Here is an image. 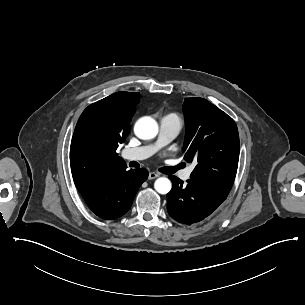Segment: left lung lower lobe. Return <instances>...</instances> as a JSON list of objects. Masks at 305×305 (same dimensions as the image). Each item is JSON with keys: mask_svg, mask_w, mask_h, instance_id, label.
Returning a JSON list of instances; mask_svg holds the SVG:
<instances>
[{"mask_svg": "<svg viewBox=\"0 0 305 305\" xmlns=\"http://www.w3.org/2000/svg\"><path fill=\"white\" fill-rule=\"evenodd\" d=\"M173 183L167 194V211L177 222L191 225L215 211L229 192L187 180V185L176 176H169Z\"/></svg>", "mask_w": 305, "mask_h": 305, "instance_id": "1", "label": "left lung lower lobe"}]
</instances>
